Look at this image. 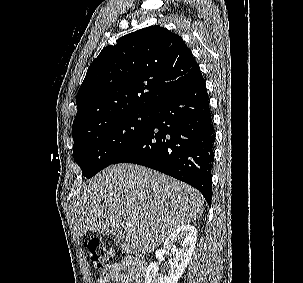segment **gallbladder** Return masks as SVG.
I'll return each mask as SVG.
<instances>
[{
    "instance_id": "1",
    "label": "gallbladder",
    "mask_w": 303,
    "mask_h": 283,
    "mask_svg": "<svg viewBox=\"0 0 303 283\" xmlns=\"http://www.w3.org/2000/svg\"><path fill=\"white\" fill-rule=\"evenodd\" d=\"M123 235H124V231L121 228L113 235L114 241L119 242L123 238Z\"/></svg>"
}]
</instances>
